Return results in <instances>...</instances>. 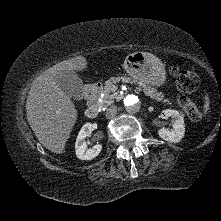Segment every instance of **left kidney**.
<instances>
[{"label":"left kidney","mask_w":221,"mask_h":221,"mask_svg":"<svg viewBox=\"0 0 221 221\" xmlns=\"http://www.w3.org/2000/svg\"><path fill=\"white\" fill-rule=\"evenodd\" d=\"M166 117H171L173 120L172 129L161 128L158 135L168 142L178 143L182 140L185 134L183 115L177 110L166 109L163 110Z\"/></svg>","instance_id":"left-kidney-1"}]
</instances>
